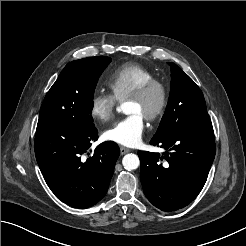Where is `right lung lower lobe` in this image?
I'll list each match as a JSON object with an SVG mask.
<instances>
[{
    "instance_id": "obj_1",
    "label": "right lung lower lobe",
    "mask_w": 246,
    "mask_h": 246,
    "mask_svg": "<svg viewBox=\"0 0 246 246\" xmlns=\"http://www.w3.org/2000/svg\"><path fill=\"white\" fill-rule=\"evenodd\" d=\"M97 139L95 127L37 125L35 155L41 173L52 192L72 207H90L108 190L120 149L108 141L90 155L91 142Z\"/></svg>"
}]
</instances>
